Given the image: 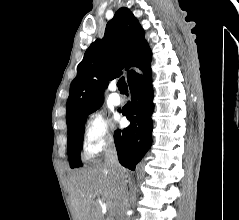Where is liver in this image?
<instances>
[{
  "label": "liver",
  "mask_w": 239,
  "mask_h": 220,
  "mask_svg": "<svg viewBox=\"0 0 239 220\" xmlns=\"http://www.w3.org/2000/svg\"><path fill=\"white\" fill-rule=\"evenodd\" d=\"M68 190L77 220H104L103 201L112 205L118 215L121 213L118 179L105 163L75 172L69 179Z\"/></svg>",
  "instance_id": "liver-1"
}]
</instances>
